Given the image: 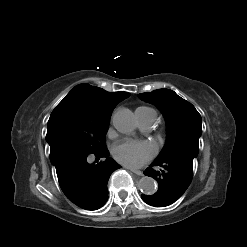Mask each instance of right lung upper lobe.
<instances>
[{
    "label": "right lung upper lobe",
    "mask_w": 247,
    "mask_h": 247,
    "mask_svg": "<svg viewBox=\"0 0 247 247\" xmlns=\"http://www.w3.org/2000/svg\"><path fill=\"white\" fill-rule=\"evenodd\" d=\"M129 96L130 93L127 92L109 93L102 88L79 84L67 94L65 99H77L91 113L110 117L115 106Z\"/></svg>",
    "instance_id": "obj_1"
}]
</instances>
